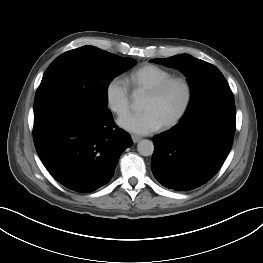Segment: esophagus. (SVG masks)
I'll return each instance as SVG.
<instances>
[{"instance_id": "34e87169", "label": "esophagus", "mask_w": 263, "mask_h": 263, "mask_svg": "<svg viewBox=\"0 0 263 263\" xmlns=\"http://www.w3.org/2000/svg\"><path fill=\"white\" fill-rule=\"evenodd\" d=\"M131 138H132L134 143H137L141 140V137L138 135H132Z\"/></svg>"}]
</instances>
